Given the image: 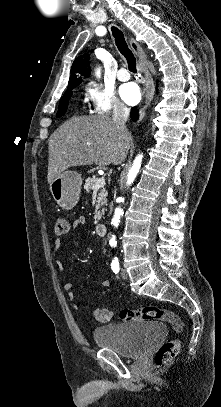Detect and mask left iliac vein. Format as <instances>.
I'll list each match as a JSON object with an SVG mask.
<instances>
[{
  "instance_id": "4c4485c4",
  "label": "left iliac vein",
  "mask_w": 221,
  "mask_h": 407,
  "mask_svg": "<svg viewBox=\"0 0 221 407\" xmlns=\"http://www.w3.org/2000/svg\"><path fill=\"white\" fill-rule=\"evenodd\" d=\"M121 277H122L123 279H127V278H128V274H127V272H126L125 269H122V270H121Z\"/></svg>"
}]
</instances>
